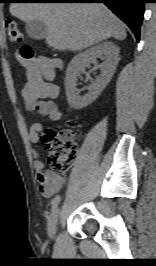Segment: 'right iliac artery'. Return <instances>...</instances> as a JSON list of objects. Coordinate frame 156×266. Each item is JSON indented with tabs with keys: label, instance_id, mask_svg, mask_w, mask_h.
<instances>
[{
	"label": "right iliac artery",
	"instance_id": "obj_1",
	"mask_svg": "<svg viewBox=\"0 0 156 266\" xmlns=\"http://www.w3.org/2000/svg\"><path fill=\"white\" fill-rule=\"evenodd\" d=\"M60 196L57 195L54 197V199L52 200V210L56 209V207L58 206L59 202H60Z\"/></svg>",
	"mask_w": 156,
	"mask_h": 266
}]
</instances>
